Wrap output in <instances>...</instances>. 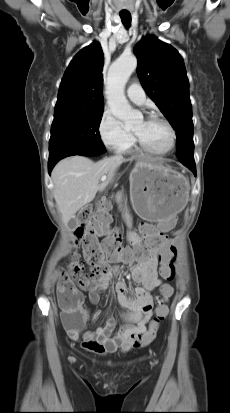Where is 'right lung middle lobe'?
<instances>
[{"label": "right lung middle lobe", "instance_id": "right-lung-middle-lobe-1", "mask_svg": "<svg viewBox=\"0 0 230 413\" xmlns=\"http://www.w3.org/2000/svg\"><path fill=\"white\" fill-rule=\"evenodd\" d=\"M103 111L55 114L49 141V160L68 152L105 151L99 134Z\"/></svg>", "mask_w": 230, "mask_h": 413}]
</instances>
